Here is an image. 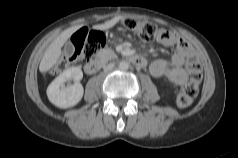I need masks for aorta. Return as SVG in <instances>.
Instances as JSON below:
<instances>
[{"instance_id": "762f6f07", "label": "aorta", "mask_w": 238, "mask_h": 158, "mask_svg": "<svg viewBox=\"0 0 238 158\" xmlns=\"http://www.w3.org/2000/svg\"><path fill=\"white\" fill-rule=\"evenodd\" d=\"M119 69L122 71H126L129 69V63L126 61H121L118 65Z\"/></svg>"}]
</instances>
